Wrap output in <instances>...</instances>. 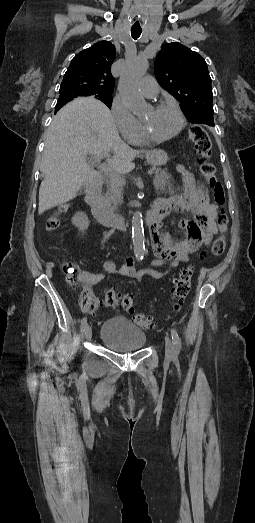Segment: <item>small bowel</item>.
Instances as JSON below:
<instances>
[{"mask_svg":"<svg viewBox=\"0 0 255 523\" xmlns=\"http://www.w3.org/2000/svg\"><path fill=\"white\" fill-rule=\"evenodd\" d=\"M183 173V190L180 194L169 198L171 211L189 212L191 219L179 223V229L185 234L184 238L177 240L167 239L160 233V224L151 229V247L155 255L150 260L152 267L136 270L135 260L127 259L122 265L117 266L113 261L104 262V273L82 272V282L87 285H96L101 282L107 274L121 275L143 282L145 276L160 279L171 271L177 269L182 262H188L190 256L196 252L201 245H208L212 236L217 232L216 217L217 207L210 201L206 189L197 183L189 172ZM167 266L164 271H158L154 267Z\"/></svg>","mask_w":255,"mask_h":523,"instance_id":"c3829d8e","label":"small bowel"}]
</instances>
